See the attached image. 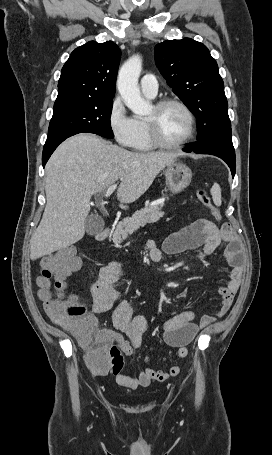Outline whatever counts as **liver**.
<instances>
[{
    "mask_svg": "<svg viewBox=\"0 0 272 455\" xmlns=\"http://www.w3.org/2000/svg\"><path fill=\"white\" fill-rule=\"evenodd\" d=\"M179 154L131 152L93 134L64 141L46 165V207L30 242L36 260L81 240L93 194L119 179L120 207L135 202Z\"/></svg>",
    "mask_w": 272,
    "mask_h": 455,
    "instance_id": "1",
    "label": "liver"
}]
</instances>
